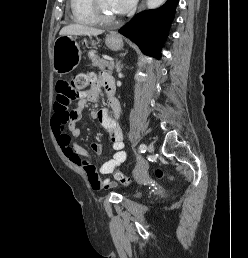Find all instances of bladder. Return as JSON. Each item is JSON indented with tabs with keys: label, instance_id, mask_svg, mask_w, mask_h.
I'll return each mask as SVG.
<instances>
[{
	"label": "bladder",
	"instance_id": "31cf9c89",
	"mask_svg": "<svg viewBox=\"0 0 248 258\" xmlns=\"http://www.w3.org/2000/svg\"><path fill=\"white\" fill-rule=\"evenodd\" d=\"M142 196V193L140 191H137L134 193V197H141Z\"/></svg>",
	"mask_w": 248,
	"mask_h": 258
}]
</instances>
